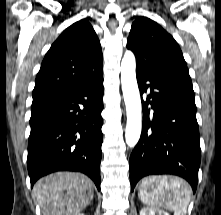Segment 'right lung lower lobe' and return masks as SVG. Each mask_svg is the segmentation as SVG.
<instances>
[{"label": "right lung lower lobe", "mask_w": 221, "mask_h": 215, "mask_svg": "<svg viewBox=\"0 0 221 215\" xmlns=\"http://www.w3.org/2000/svg\"><path fill=\"white\" fill-rule=\"evenodd\" d=\"M103 76L31 107L27 167L31 187L56 171H79L100 190Z\"/></svg>", "instance_id": "right-lung-lower-lobe-1"}]
</instances>
